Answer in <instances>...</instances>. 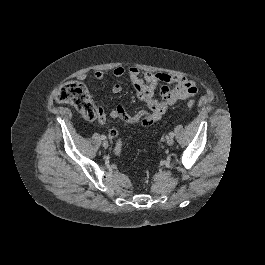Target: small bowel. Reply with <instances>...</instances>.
<instances>
[{
  "instance_id": "small-bowel-1",
  "label": "small bowel",
  "mask_w": 265,
  "mask_h": 265,
  "mask_svg": "<svg viewBox=\"0 0 265 265\" xmlns=\"http://www.w3.org/2000/svg\"><path fill=\"white\" fill-rule=\"evenodd\" d=\"M127 73L132 88L135 90L137 96L146 104L148 110H140L134 114H129L124 106L118 105L115 109L109 112V116L113 119H120L126 123H139L142 126H150L159 121L166 110L179 100H185L194 96L197 92V85L195 81L182 76L170 75L165 73L141 72L137 67H129L125 70L118 66L114 68L113 75L117 78L123 77ZM94 78L103 80L105 73L102 70H97L94 73ZM87 75L81 74L79 79L85 80ZM160 84L161 98L154 97L155 92ZM123 90L120 83H115L112 86V93L119 94ZM106 115L101 110L99 123L104 124ZM145 123V125H143ZM118 135L116 129H111L109 136L115 138Z\"/></svg>"
}]
</instances>
